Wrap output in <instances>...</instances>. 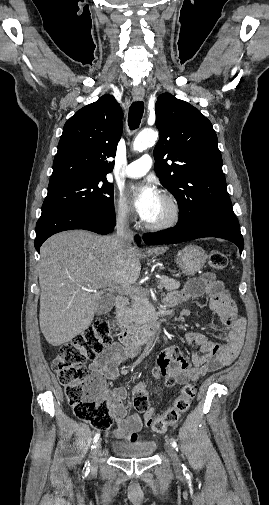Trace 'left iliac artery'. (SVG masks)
Returning a JSON list of instances; mask_svg holds the SVG:
<instances>
[{
    "label": "left iliac artery",
    "mask_w": 269,
    "mask_h": 505,
    "mask_svg": "<svg viewBox=\"0 0 269 505\" xmlns=\"http://www.w3.org/2000/svg\"><path fill=\"white\" fill-rule=\"evenodd\" d=\"M171 445L177 450V443L175 441H172ZM182 467H183L184 474L188 475L189 474V470L184 465H182Z\"/></svg>",
    "instance_id": "left-iliac-artery-1"
}]
</instances>
